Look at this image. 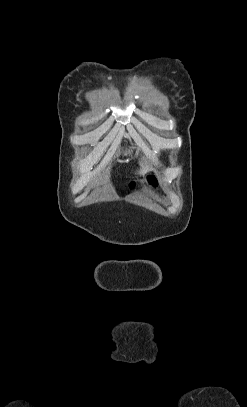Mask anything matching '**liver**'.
I'll list each match as a JSON object with an SVG mask.
<instances>
[{
    "label": "liver",
    "instance_id": "liver-1",
    "mask_svg": "<svg viewBox=\"0 0 247 407\" xmlns=\"http://www.w3.org/2000/svg\"><path fill=\"white\" fill-rule=\"evenodd\" d=\"M145 172V169L140 170V174H143Z\"/></svg>",
    "mask_w": 247,
    "mask_h": 407
}]
</instances>
